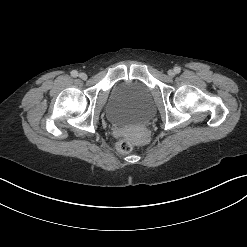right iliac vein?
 Returning <instances> with one entry per match:
<instances>
[{
  "label": "right iliac vein",
  "instance_id": "63e3f726",
  "mask_svg": "<svg viewBox=\"0 0 247 247\" xmlns=\"http://www.w3.org/2000/svg\"><path fill=\"white\" fill-rule=\"evenodd\" d=\"M79 77L83 80L87 79V75L85 73H80Z\"/></svg>",
  "mask_w": 247,
  "mask_h": 247
}]
</instances>
